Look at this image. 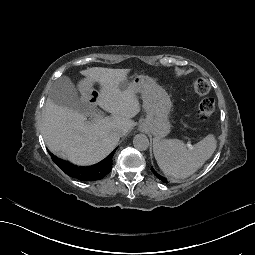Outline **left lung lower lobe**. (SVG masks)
<instances>
[{
  "label": "left lung lower lobe",
  "instance_id": "1",
  "mask_svg": "<svg viewBox=\"0 0 255 255\" xmlns=\"http://www.w3.org/2000/svg\"><path fill=\"white\" fill-rule=\"evenodd\" d=\"M150 170H152L151 175L155 177L159 182L163 183L165 186H169L172 183V180H169L166 177L162 176V174L156 169H153V167H150Z\"/></svg>",
  "mask_w": 255,
  "mask_h": 255
}]
</instances>
